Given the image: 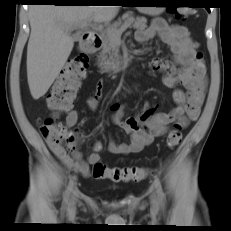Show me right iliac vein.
<instances>
[{
    "instance_id": "63e3f726",
    "label": "right iliac vein",
    "mask_w": 231,
    "mask_h": 231,
    "mask_svg": "<svg viewBox=\"0 0 231 231\" xmlns=\"http://www.w3.org/2000/svg\"><path fill=\"white\" fill-rule=\"evenodd\" d=\"M76 200H77V194H74V196L71 200L70 206H69L70 211H74Z\"/></svg>"
}]
</instances>
